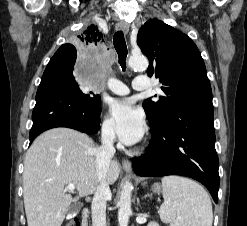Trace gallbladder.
<instances>
[{
    "mask_svg": "<svg viewBox=\"0 0 247 226\" xmlns=\"http://www.w3.org/2000/svg\"><path fill=\"white\" fill-rule=\"evenodd\" d=\"M80 208H81L80 204H72L69 207V213L73 214V215H76L78 213V211L80 210Z\"/></svg>",
    "mask_w": 247,
    "mask_h": 226,
    "instance_id": "obj_1",
    "label": "gallbladder"
}]
</instances>
